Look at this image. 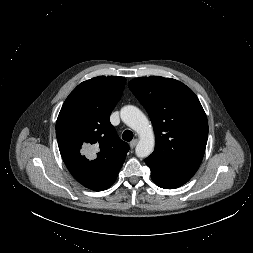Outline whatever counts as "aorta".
<instances>
[{"mask_svg":"<svg viewBox=\"0 0 253 253\" xmlns=\"http://www.w3.org/2000/svg\"><path fill=\"white\" fill-rule=\"evenodd\" d=\"M121 120L139 135L135 153L139 158L148 157L154 150L155 137L152 126L143 112L133 105H126L120 111Z\"/></svg>","mask_w":253,"mask_h":253,"instance_id":"obj_1","label":"aorta"}]
</instances>
